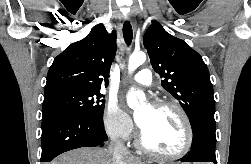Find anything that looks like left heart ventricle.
I'll list each match as a JSON object with an SVG mask.
<instances>
[{"label": "left heart ventricle", "instance_id": "b2bd125f", "mask_svg": "<svg viewBox=\"0 0 251 164\" xmlns=\"http://www.w3.org/2000/svg\"><path fill=\"white\" fill-rule=\"evenodd\" d=\"M137 118L142 123L141 130L145 141L152 148L170 154L183 148L185 128L175 110L145 106Z\"/></svg>", "mask_w": 251, "mask_h": 164}]
</instances>
